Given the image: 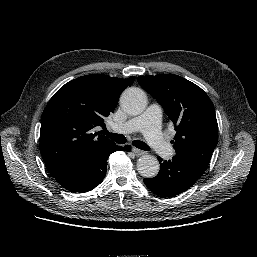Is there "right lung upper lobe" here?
I'll list each match as a JSON object with an SVG mask.
<instances>
[{
    "label": "right lung upper lobe",
    "mask_w": 257,
    "mask_h": 257,
    "mask_svg": "<svg viewBox=\"0 0 257 257\" xmlns=\"http://www.w3.org/2000/svg\"><path fill=\"white\" fill-rule=\"evenodd\" d=\"M134 80L86 75L54 94L43 111L40 129V152L53 177L115 144L94 133V128L104 126L120 94Z\"/></svg>",
    "instance_id": "obj_1"
}]
</instances>
